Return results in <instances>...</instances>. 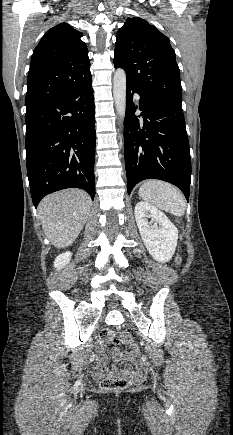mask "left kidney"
Listing matches in <instances>:
<instances>
[{"mask_svg":"<svg viewBox=\"0 0 233 435\" xmlns=\"http://www.w3.org/2000/svg\"><path fill=\"white\" fill-rule=\"evenodd\" d=\"M134 213L142 240L150 255L158 262L170 261L177 246V228L163 212L147 202H138ZM149 218L152 222H148Z\"/></svg>","mask_w":233,"mask_h":435,"instance_id":"5707ae66","label":"left kidney"}]
</instances>
